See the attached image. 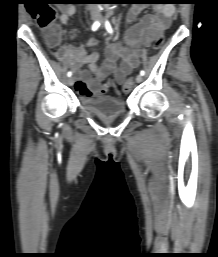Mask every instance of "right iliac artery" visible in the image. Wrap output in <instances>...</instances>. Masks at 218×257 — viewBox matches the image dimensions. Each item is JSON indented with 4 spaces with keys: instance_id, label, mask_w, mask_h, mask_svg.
Here are the masks:
<instances>
[{
    "instance_id": "obj_1",
    "label": "right iliac artery",
    "mask_w": 218,
    "mask_h": 257,
    "mask_svg": "<svg viewBox=\"0 0 218 257\" xmlns=\"http://www.w3.org/2000/svg\"><path fill=\"white\" fill-rule=\"evenodd\" d=\"M99 26H100V22L99 21H95L93 23V25H92V31H96L99 28ZM71 75H72V72L68 71L67 76L71 77Z\"/></svg>"
}]
</instances>
